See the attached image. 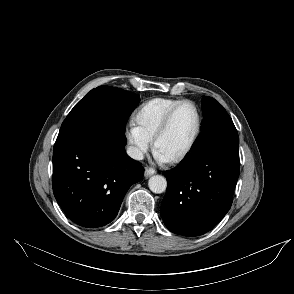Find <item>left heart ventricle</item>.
Listing matches in <instances>:
<instances>
[{
	"mask_svg": "<svg viewBox=\"0 0 294 294\" xmlns=\"http://www.w3.org/2000/svg\"><path fill=\"white\" fill-rule=\"evenodd\" d=\"M197 123L193 106L185 104L174 115L169 129L157 144L156 151L169 159L189 143Z\"/></svg>",
	"mask_w": 294,
	"mask_h": 294,
	"instance_id": "left-heart-ventricle-1",
	"label": "left heart ventricle"
}]
</instances>
